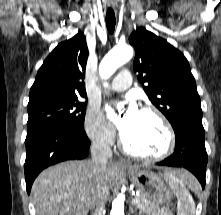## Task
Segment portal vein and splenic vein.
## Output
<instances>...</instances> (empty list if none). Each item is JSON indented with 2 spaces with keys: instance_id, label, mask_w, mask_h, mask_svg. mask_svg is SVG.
I'll list each match as a JSON object with an SVG mask.
<instances>
[{
  "instance_id": "portal-vein-and-splenic-vein-1",
  "label": "portal vein and splenic vein",
  "mask_w": 221,
  "mask_h": 215,
  "mask_svg": "<svg viewBox=\"0 0 221 215\" xmlns=\"http://www.w3.org/2000/svg\"><path fill=\"white\" fill-rule=\"evenodd\" d=\"M132 203H133V204L138 203V199L133 198V199H132Z\"/></svg>"
}]
</instances>
